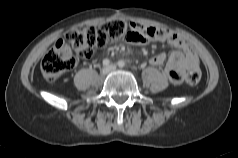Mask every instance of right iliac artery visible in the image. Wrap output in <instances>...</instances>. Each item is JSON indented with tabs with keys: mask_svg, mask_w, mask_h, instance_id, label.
<instances>
[{
	"mask_svg": "<svg viewBox=\"0 0 238 158\" xmlns=\"http://www.w3.org/2000/svg\"><path fill=\"white\" fill-rule=\"evenodd\" d=\"M110 61L108 59L103 60V65L104 66H109Z\"/></svg>",
	"mask_w": 238,
	"mask_h": 158,
	"instance_id": "1",
	"label": "right iliac artery"
}]
</instances>
